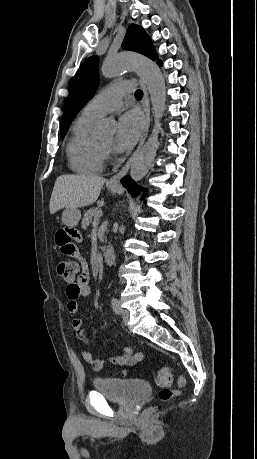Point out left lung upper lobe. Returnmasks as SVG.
I'll return each instance as SVG.
<instances>
[{
	"mask_svg": "<svg viewBox=\"0 0 257 459\" xmlns=\"http://www.w3.org/2000/svg\"><path fill=\"white\" fill-rule=\"evenodd\" d=\"M122 48L141 53L152 60L157 59L150 37L142 27L135 24L129 26ZM98 84V57L91 56L80 66L71 83L61 117L60 135L62 138L79 111L93 97Z\"/></svg>",
	"mask_w": 257,
	"mask_h": 459,
	"instance_id": "left-lung-upper-lobe-1",
	"label": "left lung upper lobe"
}]
</instances>
